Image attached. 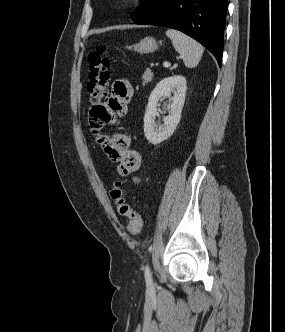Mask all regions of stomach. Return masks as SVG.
Instances as JSON below:
<instances>
[{
    "mask_svg": "<svg viewBox=\"0 0 285 332\" xmlns=\"http://www.w3.org/2000/svg\"><path fill=\"white\" fill-rule=\"evenodd\" d=\"M161 45V41H156L153 37H145L144 39H141V41L133 46L134 51L139 53H152L156 51Z\"/></svg>",
    "mask_w": 285,
    "mask_h": 332,
    "instance_id": "0dacf381",
    "label": "stomach"
}]
</instances>
